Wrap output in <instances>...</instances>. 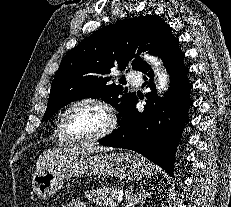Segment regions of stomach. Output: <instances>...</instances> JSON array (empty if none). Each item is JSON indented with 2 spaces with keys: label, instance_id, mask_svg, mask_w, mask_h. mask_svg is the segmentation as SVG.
Returning <instances> with one entry per match:
<instances>
[{
  "label": "stomach",
  "instance_id": "obj_1",
  "mask_svg": "<svg viewBox=\"0 0 231 207\" xmlns=\"http://www.w3.org/2000/svg\"><path fill=\"white\" fill-rule=\"evenodd\" d=\"M84 175L141 180L151 176L152 169L146 160L129 152L66 155L37 171L32 177V189L40 199L47 200L64 188L71 177Z\"/></svg>",
  "mask_w": 231,
  "mask_h": 207
}]
</instances>
